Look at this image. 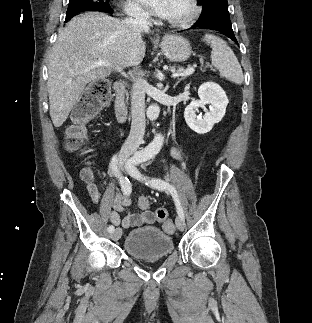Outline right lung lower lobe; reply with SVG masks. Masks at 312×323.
I'll return each instance as SVG.
<instances>
[{
  "mask_svg": "<svg viewBox=\"0 0 312 323\" xmlns=\"http://www.w3.org/2000/svg\"><path fill=\"white\" fill-rule=\"evenodd\" d=\"M106 13H109V14H112L113 13V11L112 10H108V11H106ZM69 19H66L65 20V22H67Z\"/></svg>",
  "mask_w": 312,
  "mask_h": 323,
  "instance_id": "obj_1",
  "label": "right lung lower lobe"
}]
</instances>
